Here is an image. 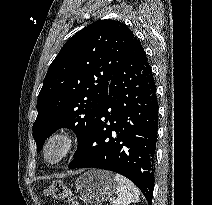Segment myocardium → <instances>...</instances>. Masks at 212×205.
<instances>
[{
    "label": "myocardium",
    "instance_id": "obj_1",
    "mask_svg": "<svg viewBox=\"0 0 212 205\" xmlns=\"http://www.w3.org/2000/svg\"><path fill=\"white\" fill-rule=\"evenodd\" d=\"M75 147V138L67 130L53 132L45 141L42 155L46 162L57 164L67 158Z\"/></svg>",
    "mask_w": 212,
    "mask_h": 205
}]
</instances>
